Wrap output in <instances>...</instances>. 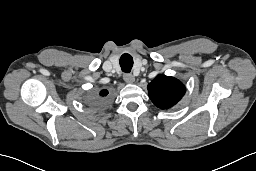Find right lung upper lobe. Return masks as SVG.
Segmentation results:
<instances>
[{"label": "right lung upper lobe", "instance_id": "obj_1", "mask_svg": "<svg viewBox=\"0 0 256 171\" xmlns=\"http://www.w3.org/2000/svg\"><path fill=\"white\" fill-rule=\"evenodd\" d=\"M108 94V91L107 90H102L101 92H100V95L101 96H106Z\"/></svg>", "mask_w": 256, "mask_h": 171}]
</instances>
